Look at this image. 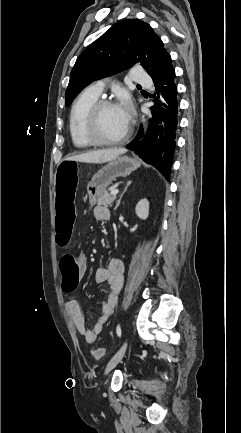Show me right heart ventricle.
I'll return each mask as SVG.
<instances>
[{
    "instance_id": "right-heart-ventricle-1",
    "label": "right heart ventricle",
    "mask_w": 241,
    "mask_h": 433,
    "mask_svg": "<svg viewBox=\"0 0 241 433\" xmlns=\"http://www.w3.org/2000/svg\"><path fill=\"white\" fill-rule=\"evenodd\" d=\"M98 95L89 89L84 90L74 101L69 116V131L73 145L79 149H87L94 144L84 131V121L91 106L98 100Z\"/></svg>"
}]
</instances>
